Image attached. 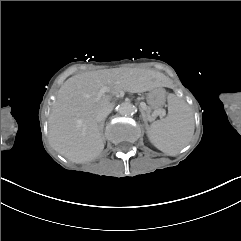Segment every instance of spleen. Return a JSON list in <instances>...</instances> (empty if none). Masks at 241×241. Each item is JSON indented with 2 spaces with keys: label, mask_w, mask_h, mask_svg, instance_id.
Segmentation results:
<instances>
[{
  "label": "spleen",
  "mask_w": 241,
  "mask_h": 241,
  "mask_svg": "<svg viewBox=\"0 0 241 241\" xmlns=\"http://www.w3.org/2000/svg\"><path fill=\"white\" fill-rule=\"evenodd\" d=\"M168 108V116L153 122L147 135L157 149L173 156L190 142L194 120L188 105L176 95L169 97Z\"/></svg>",
  "instance_id": "obj_1"
}]
</instances>
